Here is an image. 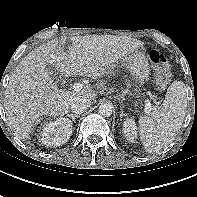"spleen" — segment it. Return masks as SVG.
I'll return each instance as SVG.
<instances>
[{"label": "spleen", "mask_w": 197, "mask_h": 197, "mask_svg": "<svg viewBox=\"0 0 197 197\" xmlns=\"http://www.w3.org/2000/svg\"><path fill=\"white\" fill-rule=\"evenodd\" d=\"M186 91L182 81H174L167 89L163 104L139 119L140 140L148 153L159 152L174 140L185 117Z\"/></svg>", "instance_id": "3e777b00"}]
</instances>
